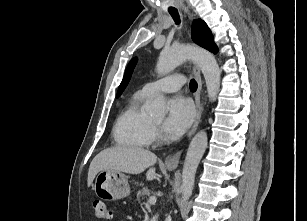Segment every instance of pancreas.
Wrapping results in <instances>:
<instances>
[{"label": "pancreas", "mask_w": 307, "mask_h": 221, "mask_svg": "<svg viewBox=\"0 0 307 221\" xmlns=\"http://www.w3.org/2000/svg\"><path fill=\"white\" fill-rule=\"evenodd\" d=\"M150 194V190L148 188H142L137 193V200L140 202V197L144 198L146 195Z\"/></svg>", "instance_id": "pancreas-1"}]
</instances>
